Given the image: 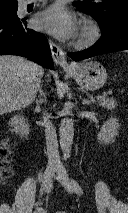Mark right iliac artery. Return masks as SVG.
Wrapping results in <instances>:
<instances>
[{
  "label": "right iliac artery",
  "mask_w": 128,
  "mask_h": 213,
  "mask_svg": "<svg viewBox=\"0 0 128 213\" xmlns=\"http://www.w3.org/2000/svg\"><path fill=\"white\" fill-rule=\"evenodd\" d=\"M52 187H53V183H52V181H50V183H49V185H48V187H47V190H46V192L47 193H49L50 192V190L52 189ZM41 211L39 210V212L38 213H40Z\"/></svg>",
  "instance_id": "obj_1"
}]
</instances>
